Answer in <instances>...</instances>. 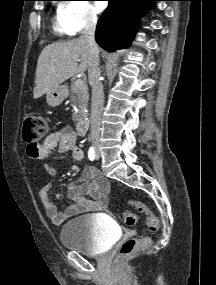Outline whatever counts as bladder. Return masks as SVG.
<instances>
[{
  "label": "bladder",
  "instance_id": "obj_1",
  "mask_svg": "<svg viewBox=\"0 0 216 285\" xmlns=\"http://www.w3.org/2000/svg\"><path fill=\"white\" fill-rule=\"evenodd\" d=\"M116 237V227L96 215L75 217L60 231V240L65 248L90 256L108 251Z\"/></svg>",
  "mask_w": 216,
  "mask_h": 285
}]
</instances>
